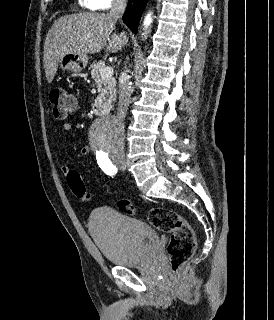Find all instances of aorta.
<instances>
[{"mask_svg":"<svg viewBox=\"0 0 274 320\" xmlns=\"http://www.w3.org/2000/svg\"><path fill=\"white\" fill-rule=\"evenodd\" d=\"M152 23L151 13L147 14L143 25L147 29ZM124 125L117 118L107 117L101 119L92 131V142L99 150V155H105V151L116 150L123 142Z\"/></svg>","mask_w":274,"mask_h":320,"instance_id":"762f6f07","label":"aorta"}]
</instances>
